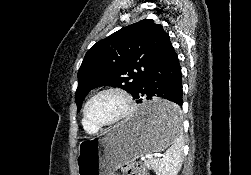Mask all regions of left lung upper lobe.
Segmentation results:
<instances>
[{"instance_id":"1","label":"left lung upper lobe","mask_w":251,"mask_h":175,"mask_svg":"<svg viewBox=\"0 0 251 175\" xmlns=\"http://www.w3.org/2000/svg\"><path fill=\"white\" fill-rule=\"evenodd\" d=\"M169 39L161 24L145 19L94 44L78 71L75 95L78 111L85 96L98 86H115L134 95Z\"/></svg>"}]
</instances>
